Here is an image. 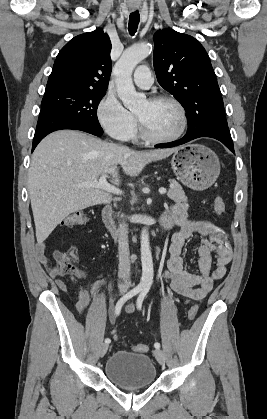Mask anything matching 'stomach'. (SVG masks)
<instances>
[{"label":"stomach","instance_id":"0dacf381","mask_svg":"<svg viewBox=\"0 0 267 419\" xmlns=\"http://www.w3.org/2000/svg\"><path fill=\"white\" fill-rule=\"evenodd\" d=\"M171 166L179 181L197 191L209 188L220 173L217 155L201 144L179 147L172 156Z\"/></svg>","mask_w":267,"mask_h":419}]
</instances>
